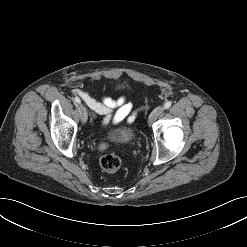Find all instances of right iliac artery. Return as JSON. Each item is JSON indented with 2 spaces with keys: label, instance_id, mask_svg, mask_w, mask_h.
I'll list each match as a JSON object with an SVG mask.
<instances>
[{
  "label": "right iliac artery",
  "instance_id": "82829eb1",
  "mask_svg": "<svg viewBox=\"0 0 247 247\" xmlns=\"http://www.w3.org/2000/svg\"><path fill=\"white\" fill-rule=\"evenodd\" d=\"M74 100H75V102H76L77 104H80V102H81L80 99H79L78 97H75Z\"/></svg>",
  "mask_w": 247,
  "mask_h": 247
}]
</instances>
